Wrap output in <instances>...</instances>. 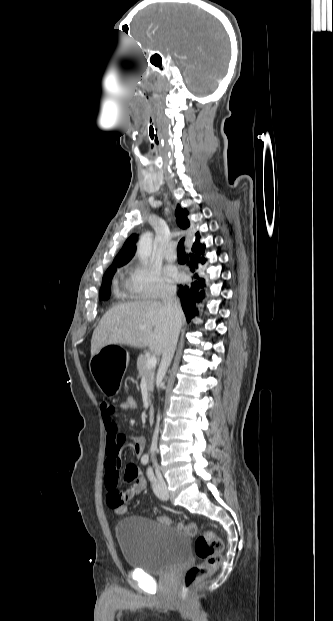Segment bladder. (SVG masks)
Returning a JSON list of instances; mask_svg holds the SVG:
<instances>
[{
	"instance_id": "1",
	"label": "bladder",
	"mask_w": 333,
	"mask_h": 621,
	"mask_svg": "<svg viewBox=\"0 0 333 621\" xmlns=\"http://www.w3.org/2000/svg\"><path fill=\"white\" fill-rule=\"evenodd\" d=\"M115 534L126 564L148 574L169 573L190 551L188 536L158 519L124 518L117 523Z\"/></svg>"
}]
</instances>
